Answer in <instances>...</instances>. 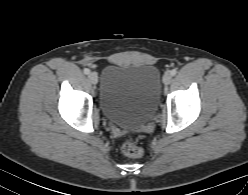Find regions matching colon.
<instances>
[{
    "instance_id": "obj_1",
    "label": "colon",
    "mask_w": 248,
    "mask_h": 195,
    "mask_svg": "<svg viewBox=\"0 0 248 195\" xmlns=\"http://www.w3.org/2000/svg\"><path fill=\"white\" fill-rule=\"evenodd\" d=\"M121 150L124 155L128 157H138L142 154L141 148L137 142L132 138H126L122 143Z\"/></svg>"
}]
</instances>
